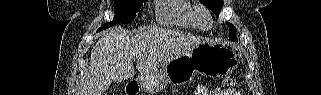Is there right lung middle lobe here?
<instances>
[{"instance_id": "1", "label": "right lung middle lobe", "mask_w": 321, "mask_h": 95, "mask_svg": "<svg viewBox=\"0 0 321 95\" xmlns=\"http://www.w3.org/2000/svg\"><path fill=\"white\" fill-rule=\"evenodd\" d=\"M144 1L145 0H115L114 20L102 25L101 28L98 29V31L106 29L117 23H131L132 20L136 17V12L139 11Z\"/></svg>"}]
</instances>
